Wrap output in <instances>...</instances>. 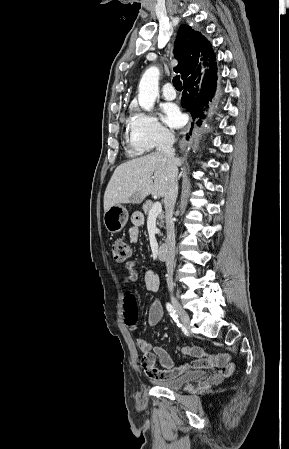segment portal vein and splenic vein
Instances as JSON below:
<instances>
[{
	"instance_id": "obj_1",
	"label": "portal vein and splenic vein",
	"mask_w": 289,
	"mask_h": 449,
	"mask_svg": "<svg viewBox=\"0 0 289 449\" xmlns=\"http://www.w3.org/2000/svg\"><path fill=\"white\" fill-rule=\"evenodd\" d=\"M142 182V181H140ZM162 212V205L160 202H156L149 211V218H156Z\"/></svg>"
}]
</instances>
